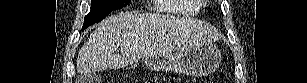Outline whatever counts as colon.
I'll return each instance as SVG.
<instances>
[{
    "label": "colon",
    "mask_w": 307,
    "mask_h": 83,
    "mask_svg": "<svg viewBox=\"0 0 307 83\" xmlns=\"http://www.w3.org/2000/svg\"><path fill=\"white\" fill-rule=\"evenodd\" d=\"M152 82L154 83L155 81H152ZM213 82L214 81L211 78H204L201 80V83H213Z\"/></svg>",
    "instance_id": "colon-1"
}]
</instances>
